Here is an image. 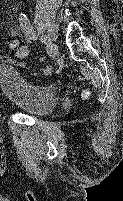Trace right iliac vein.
I'll list each match as a JSON object with an SVG mask.
<instances>
[{
  "label": "right iliac vein",
  "instance_id": "1",
  "mask_svg": "<svg viewBox=\"0 0 123 201\" xmlns=\"http://www.w3.org/2000/svg\"><path fill=\"white\" fill-rule=\"evenodd\" d=\"M46 48H47V53L50 57H55L58 53L57 46L50 40L46 39Z\"/></svg>",
  "mask_w": 123,
  "mask_h": 201
}]
</instances>
